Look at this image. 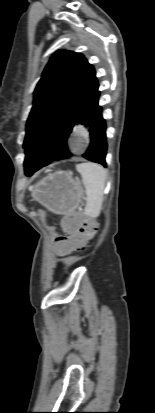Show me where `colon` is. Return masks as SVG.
Returning <instances> with one entry per match:
<instances>
[{"label": "colon", "mask_w": 155, "mask_h": 413, "mask_svg": "<svg viewBox=\"0 0 155 413\" xmlns=\"http://www.w3.org/2000/svg\"><path fill=\"white\" fill-rule=\"evenodd\" d=\"M63 225L72 235L67 237L59 236L53 241L55 248H66V250L60 251L61 257H69L70 252H81L97 229L93 219L79 214L66 216L63 220Z\"/></svg>", "instance_id": "5ec220e1"}]
</instances>
